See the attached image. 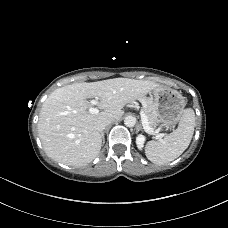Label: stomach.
<instances>
[{"mask_svg": "<svg viewBox=\"0 0 228 228\" xmlns=\"http://www.w3.org/2000/svg\"><path fill=\"white\" fill-rule=\"evenodd\" d=\"M152 95L150 101L154 104L158 114L156 126H159L160 129L173 128L183 115L186 105L184 97L178 91L167 87L152 90Z\"/></svg>", "mask_w": 228, "mask_h": 228, "instance_id": "obj_1", "label": "stomach"}]
</instances>
